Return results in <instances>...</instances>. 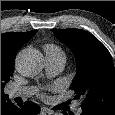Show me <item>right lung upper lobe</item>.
<instances>
[{
	"instance_id": "right-lung-upper-lobe-1",
	"label": "right lung upper lobe",
	"mask_w": 115,
	"mask_h": 115,
	"mask_svg": "<svg viewBox=\"0 0 115 115\" xmlns=\"http://www.w3.org/2000/svg\"><path fill=\"white\" fill-rule=\"evenodd\" d=\"M36 32L37 30L1 34V102L8 99V96L4 94V87L14 72L16 54Z\"/></svg>"
}]
</instances>
